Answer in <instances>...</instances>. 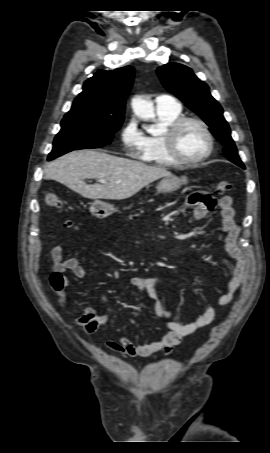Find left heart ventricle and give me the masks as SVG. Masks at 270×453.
I'll use <instances>...</instances> for the list:
<instances>
[{
  "label": "left heart ventricle",
  "instance_id": "b2bd125f",
  "mask_svg": "<svg viewBox=\"0 0 270 453\" xmlns=\"http://www.w3.org/2000/svg\"><path fill=\"white\" fill-rule=\"evenodd\" d=\"M207 138L202 128L194 123H188L178 134L177 151L185 158H197L207 150Z\"/></svg>",
  "mask_w": 270,
  "mask_h": 453
}]
</instances>
